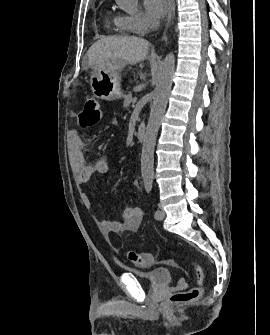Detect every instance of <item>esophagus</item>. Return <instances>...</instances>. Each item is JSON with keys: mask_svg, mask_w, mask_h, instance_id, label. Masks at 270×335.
<instances>
[{"mask_svg": "<svg viewBox=\"0 0 270 335\" xmlns=\"http://www.w3.org/2000/svg\"><path fill=\"white\" fill-rule=\"evenodd\" d=\"M169 1V11H168V15H167V26H166V29H165V32H164V36H165V33L167 31V27L171 21V18H172V6H173V3H174V0H168Z\"/></svg>", "mask_w": 270, "mask_h": 335, "instance_id": "34e87169", "label": "esophagus"}]
</instances>
